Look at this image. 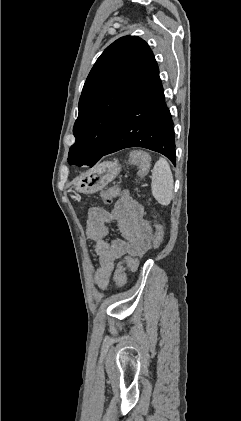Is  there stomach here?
I'll use <instances>...</instances> for the list:
<instances>
[{
  "label": "stomach",
  "instance_id": "0dacf381",
  "mask_svg": "<svg viewBox=\"0 0 241 421\" xmlns=\"http://www.w3.org/2000/svg\"><path fill=\"white\" fill-rule=\"evenodd\" d=\"M120 170L118 162H102L75 182V190L85 194L94 193L115 179Z\"/></svg>",
  "mask_w": 241,
  "mask_h": 421
}]
</instances>
